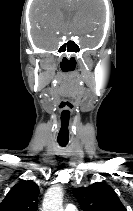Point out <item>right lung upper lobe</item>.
Here are the masks:
<instances>
[{
  "label": "right lung upper lobe",
  "mask_w": 133,
  "mask_h": 211,
  "mask_svg": "<svg viewBox=\"0 0 133 211\" xmlns=\"http://www.w3.org/2000/svg\"><path fill=\"white\" fill-rule=\"evenodd\" d=\"M38 185L33 181H21L11 188L0 203V211H36Z\"/></svg>",
  "instance_id": "cb5924a9"
}]
</instances>
